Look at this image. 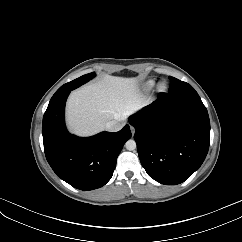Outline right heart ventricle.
<instances>
[{
    "mask_svg": "<svg viewBox=\"0 0 242 242\" xmlns=\"http://www.w3.org/2000/svg\"><path fill=\"white\" fill-rule=\"evenodd\" d=\"M153 86H154V81H149V82L146 83V86H145V87H146V89L149 90V89H151Z\"/></svg>",
    "mask_w": 242,
    "mask_h": 242,
    "instance_id": "e07e8e85",
    "label": "right heart ventricle"
}]
</instances>
